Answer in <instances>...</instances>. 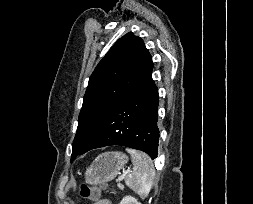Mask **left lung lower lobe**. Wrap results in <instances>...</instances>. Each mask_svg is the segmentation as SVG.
<instances>
[{
  "mask_svg": "<svg viewBox=\"0 0 253 204\" xmlns=\"http://www.w3.org/2000/svg\"><path fill=\"white\" fill-rule=\"evenodd\" d=\"M152 69L153 65L133 92L96 125L89 143L78 155L100 147L122 145L144 151L152 159L157 157L159 96Z\"/></svg>",
  "mask_w": 253,
  "mask_h": 204,
  "instance_id": "1",
  "label": "left lung lower lobe"
}]
</instances>
